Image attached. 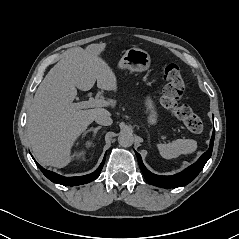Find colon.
Instances as JSON below:
<instances>
[{"label": "colon", "mask_w": 239, "mask_h": 239, "mask_svg": "<svg viewBox=\"0 0 239 239\" xmlns=\"http://www.w3.org/2000/svg\"><path fill=\"white\" fill-rule=\"evenodd\" d=\"M163 77L166 84L161 95L162 106L181 120L190 132L201 133L204 129L201 117L189 106L179 103L185 93V84L179 66L172 62L166 63L163 68Z\"/></svg>", "instance_id": "obj_1"}]
</instances>
